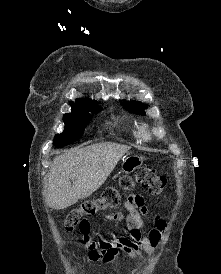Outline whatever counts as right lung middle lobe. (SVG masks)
<instances>
[{"mask_svg": "<svg viewBox=\"0 0 221 274\" xmlns=\"http://www.w3.org/2000/svg\"><path fill=\"white\" fill-rule=\"evenodd\" d=\"M71 113H66L63 117L65 129L63 133L57 134L54 138L56 147H64L79 139L86 125L90 120V113L97 114L102 108L97 105V101L83 99L76 104H71Z\"/></svg>", "mask_w": 221, "mask_h": 274, "instance_id": "1", "label": "right lung middle lobe"}]
</instances>
